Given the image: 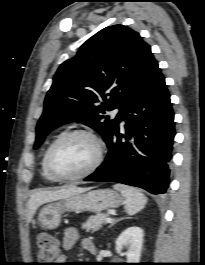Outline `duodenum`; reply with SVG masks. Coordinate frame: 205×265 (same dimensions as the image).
Returning <instances> with one entry per match:
<instances>
[{"mask_svg": "<svg viewBox=\"0 0 205 265\" xmlns=\"http://www.w3.org/2000/svg\"><path fill=\"white\" fill-rule=\"evenodd\" d=\"M87 250H88V252H89L90 254H94V253H95V246H94V245H91V246H89V247L87 248Z\"/></svg>", "mask_w": 205, "mask_h": 265, "instance_id": "duodenum-1", "label": "duodenum"}]
</instances>
